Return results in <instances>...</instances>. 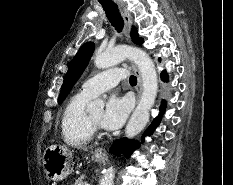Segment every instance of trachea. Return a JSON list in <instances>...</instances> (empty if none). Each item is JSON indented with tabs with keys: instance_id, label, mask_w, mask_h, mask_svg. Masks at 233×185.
<instances>
[{
	"instance_id": "1",
	"label": "trachea",
	"mask_w": 233,
	"mask_h": 185,
	"mask_svg": "<svg viewBox=\"0 0 233 185\" xmlns=\"http://www.w3.org/2000/svg\"><path fill=\"white\" fill-rule=\"evenodd\" d=\"M110 23L118 31L121 32L124 26L123 18L118 10V7L115 3H101ZM130 84H136L137 78L134 75H131L129 78Z\"/></svg>"
}]
</instances>
